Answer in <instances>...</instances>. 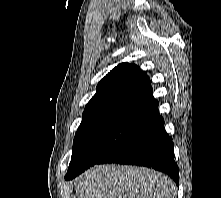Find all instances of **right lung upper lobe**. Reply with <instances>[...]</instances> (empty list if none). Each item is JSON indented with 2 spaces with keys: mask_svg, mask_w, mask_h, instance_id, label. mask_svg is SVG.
<instances>
[{
  "mask_svg": "<svg viewBox=\"0 0 221 198\" xmlns=\"http://www.w3.org/2000/svg\"><path fill=\"white\" fill-rule=\"evenodd\" d=\"M158 112L147 74L135 64L121 63L98 84L86 105L79 128L95 121L124 119L144 122Z\"/></svg>",
  "mask_w": 221,
  "mask_h": 198,
  "instance_id": "cb5924a9",
  "label": "right lung upper lobe"
}]
</instances>
